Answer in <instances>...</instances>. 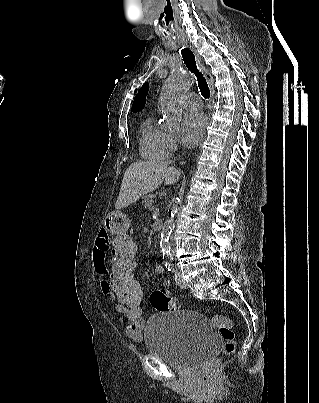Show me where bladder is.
<instances>
[{
  "label": "bladder",
  "mask_w": 319,
  "mask_h": 403,
  "mask_svg": "<svg viewBox=\"0 0 319 403\" xmlns=\"http://www.w3.org/2000/svg\"><path fill=\"white\" fill-rule=\"evenodd\" d=\"M144 340L150 354L181 371L202 366L220 347L211 321L195 311L152 314L145 325Z\"/></svg>",
  "instance_id": "1"
}]
</instances>
